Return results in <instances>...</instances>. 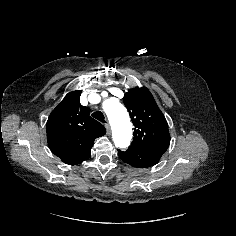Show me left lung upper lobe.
Returning <instances> with one entry per match:
<instances>
[{"label":"left lung upper lobe","mask_w":236,"mask_h":236,"mask_svg":"<svg viewBox=\"0 0 236 236\" xmlns=\"http://www.w3.org/2000/svg\"><path fill=\"white\" fill-rule=\"evenodd\" d=\"M123 102L134 125L130 147L167 149L170 135L166 119L146 87L130 89Z\"/></svg>","instance_id":"obj_1"}]
</instances>
